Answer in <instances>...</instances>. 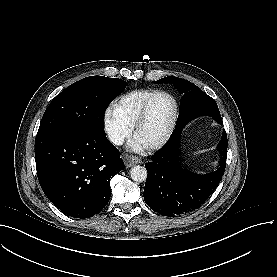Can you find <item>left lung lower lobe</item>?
<instances>
[{
  "instance_id": "obj_1",
  "label": "left lung lower lobe",
  "mask_w": 277,
  "mask_h": 277,
  "mask_svg": "<svg viewBox=\"0 0 277 277\" xmlns=\"http://www.w3.org/2000/svg\"><path fill=\"white\" fill-rule=\"evenodd\" d=\"M180 134L168 140L145 164L148 175L144 188V200L162 216L175 217L188 213L209 197L218 186L225 170L227 136L225 130L218 149L221 158L217 170L208 175L193 174L182 169L179 160Z\"/></svg>"
}]
</instances>
